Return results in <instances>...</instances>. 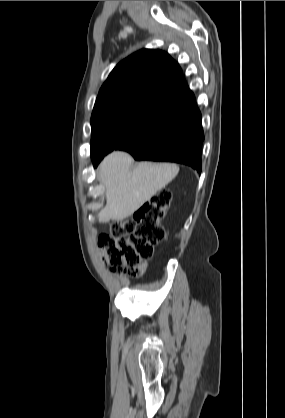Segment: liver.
<instances>
[{"mask_svg": "<svg viewBox=\"0 0 285 418\" xmlns=\"http://www.w3.org/2000/svg\"><path fill=\"white\" fill-rule=\"evenodd\" d=\"M133 158L116 151L99 166V177L106 188V205L99 212L100 222L122 221L136 212L179 172L176 164L140 162L132 169Z\"/></svg>", "mask_w": 285, "mask_h": 418, "instance_id": "liver-1", "label": "liver"}]
</instances>
